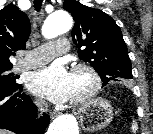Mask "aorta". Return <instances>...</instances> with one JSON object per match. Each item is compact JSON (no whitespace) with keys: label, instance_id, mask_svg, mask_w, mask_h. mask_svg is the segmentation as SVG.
<instances>
[{"label":"aorta","instance_id":"762f6f07","mask_svg":"<svg viewBox=\"0 0 153 134\" xmlns=\"http://www.w3.org/2000/svg\"><path fill=\"white\" fill-rule=\"evenodd\" d=\"M72 24V18L67 12L55 11L46 18L42 27V34L46 38H54L68 32ZM47 134H79V128L72 115L64 114L50 124Z\"/></svg>","mask_w":153,"mask_h":134}]
</instances>
